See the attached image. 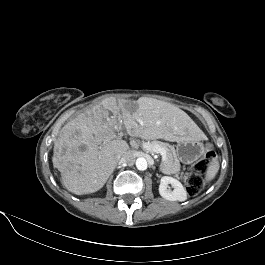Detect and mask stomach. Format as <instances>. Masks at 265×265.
Here are the masks:
<instances>
[{
    "label": "stomach",
    "mask_w": 265,
    "mask_h": 265,
    "mask_svg": "<svg viewBox=\"0 0 265 265\" xmlns=\"http://www.w3.org/2000/svg\"><path fill=\"white\" fill-rule=\"evenodd\" d=\"M204 153V146L199 140H182L176 146L178 159L184 164H191Z\"/></svg>",
    "instance_id": "1"
}]
</instances>
